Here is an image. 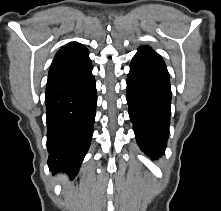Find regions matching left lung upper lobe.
I'll list each match as a JSON object with an SVG mask.
<instances>
[{
    "instance_id": "left-lung-upper-lobe-1",
    "label": "left lung upper lobe",
    "mask_w": 221,
    "mask_h": 211,
    "mask_svg": "<svg viewBox=\"0 0 221 211\" xmlns=\"http://www.w3.org/2000/svg\"><path fill=\"white\" fill-rule=\"evenodd\" d=\"M139 50H147V51H150V52H154L149 47H141ZM154 53H156V52H154Z\"/></svg>"
}]
</instances>
